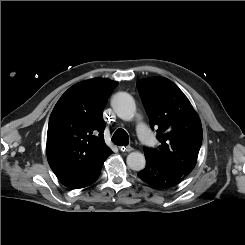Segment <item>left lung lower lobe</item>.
Returning <instances> with one entry per match:
<instances>
[{"label":"left lung lower lobe","mask_w":245,"mask_h":245,"mask_svg":"<svg viewBox=\"0 0 245 245\" xmlns=\"http://www.w3.org/2000/svg\"><path fill=\"white\" fill-rule=\"evenodd\" d=\"M138 177L145 183L159 189H168L182 182L187 175L169 167L160 165L151 158L146 157V166L138 172Z\"/></svg>","instance_id":"0a47b994"}]
</instances>
